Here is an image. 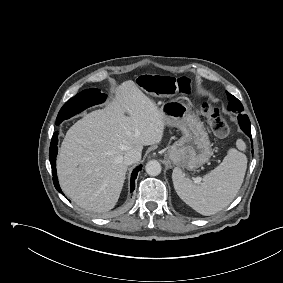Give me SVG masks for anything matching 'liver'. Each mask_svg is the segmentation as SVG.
<instances>
[{"label": "liver", "mask_w": 283, "mask_h": 283, "mask_svg": "<svg viewBox=\"0 0 283 283\" xmlns=\"http://www.w3.org/2000/svg\"><path fill=\"white\" fill-rule=\"evenodd\" d=\"M114 92L104 109L70 127L57 159L63 192L96 212L111 210L119 199L128 168L124 154L160 143L166 126L163 112L135 82L125 81Z\"/></svg>", "instance_id": "6515ba94"}]
</instances>
